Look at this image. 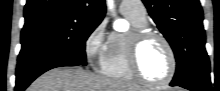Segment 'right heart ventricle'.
<instances>
[{"label": "right heart ventricle", "mask_w": 220, "mask_h": 91, "mask_svg": "<svg viewBox=\"0 0 220 91\" xmlns=\"http://www.w3.org/2000/svg\"><path fill=\"white\" fill-rule=\"evenodd\" d=\"M125 16L134 29L147 27V21H139L134 17ZM127 37V34L122 33H113L110 36L107 54L101 65L102 75L124 82H133L135 80L127 62Z\"/></svg>", "instance_id": "e07e8e85"}]
</instances>
